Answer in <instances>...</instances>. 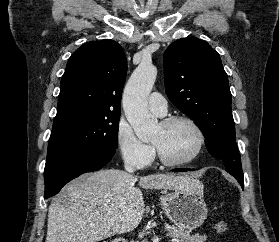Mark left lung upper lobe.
<instances>
[{
	"label": "left lung upper lobe",
	"mask_w": 279,
	"mask_h": 242,
	"mask_svg": "<svg viewBox=\"0 0 279 242\" xmlns=\"http://www.w3.org/2000/svg\"><path fill=\"white\" fill-rule=\"evenodd\" d=\"M166 94L198 125L209 153L226 171L243 179L231 111V92L220 55L206 41L187 37L173 42L163 56Z\"/></svg>",
	"instance_id": "1"
}]
</instances>
